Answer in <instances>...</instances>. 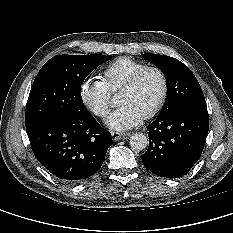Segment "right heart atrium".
I'll return each mask as SVG.
<instances>
[{
  "label": "right heart atrium",
  "instance_id": "1",
  "mask_svg": "<svg viewBox=\"0 0 233 233\" xmlns=\"http://www.w3.org/2000/svg\"><path fill=\"white\" fill-rule=\"evenodd\" d=\"M80 98L96 116L105 117L110 111V91L105 83L96 77L85 79L80 86Z\"/></svg>",
  "mask_w": 233,
  "mask_h": 233
}]
</instances>
